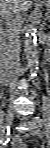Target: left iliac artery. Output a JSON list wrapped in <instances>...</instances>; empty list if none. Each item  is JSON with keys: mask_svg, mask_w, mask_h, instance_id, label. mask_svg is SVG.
Returning a JSON list of instances; mask_svg holds the SVG:
<instances>
[{"mask_svg": "<svg viewBox=\"0 0 50 148\" xmlns=\"http://www.w3.org/2000/svg\"><path fill=\"white\" fill-rule=\"evenodd\" d=\"M35 122L37 123L38 126L42 127L43 119H41L40 117H35Z\"/></svg>", "mask_w": 50, "mask_h": 148, "instance_id": "left-iliac-artery-1", "label": "left iliac artery"}]
</instances>
